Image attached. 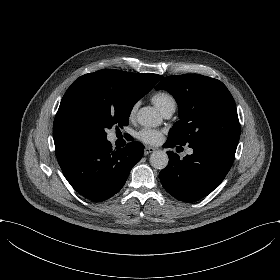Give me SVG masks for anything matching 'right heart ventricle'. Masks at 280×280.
I'll return each mask as SVG.
<instances>
[{"mask_svg": "<svg viewBox=\"0 0 280 280\" xmlns=\"http://www.w3.org/2000/svg\"><path fill=\"white\" fill-rule=\"evenodd\" d=\"M152 102L161 110L162 113L169 109H174L176 100L174 96L167 91H157L151 96Z\"/></svg>", "mask_w": 280, "mask_h": 280, "instance_id": "obj_1", "label": "right heart ventricle"}]
</instances>
